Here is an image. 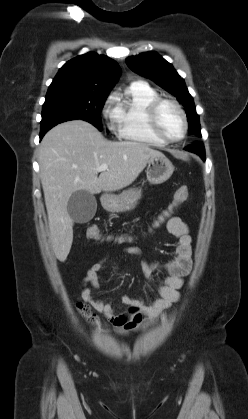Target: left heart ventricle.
<instances>
[{"instance_id": "1", "label": "left heart ventricle", "mask_w": 248, "mask_h": 419, "mask_svg": "<svg viewBox=\"0 0 248 419\" xmlns=\"http://www.w3.org/2000/svg\"><path fill=\"white\" fill-rule=\"evenodd\" d=\"M157 120L161 132L166 137L176 139L181 136L183 122L180 114L172 105L162 104L157 113Z\"/></svg>"}]
</instances>
